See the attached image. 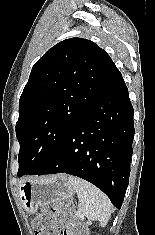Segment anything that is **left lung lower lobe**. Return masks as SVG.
Masks as SVG:
<instances>
[{
  "mask_svg": "<svg viewBox=\"0 0 155 235\" xmlns=\"http://www.w3.org/2000/svg\"><path fill=\"white\" fill-rule=\"evenodd\" d=\"M134 132L133 107L117 69L52 159L31 175L78 176L97 186L120 209L128 186Z\"/></svg>",
  "mask_w": 155,
  "mask_h": 235,
  "instance_id": "obj_1",
  "label": "left lung lower lobe"
}]
</instances>
